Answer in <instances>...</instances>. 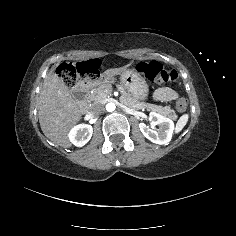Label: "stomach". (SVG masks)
Segmentation results:
<instances>
[{"mask_svg": "<svg viewBox=\"0 0 236 236\" xmlns=\"http://www.w3.org/2000/svg\"><path fill=\"white\" fill-rule=\"evenodd\" d=\"M112 77H103L101 82H111ZM121 83L129 94L139 101H144L149 95V84L135 69H127L121 73Z\"/></svg>", "mask_w": 236, "mask_h": 236, "instance_id": "stomach-1", "label": "stomach"}]
</instances>
